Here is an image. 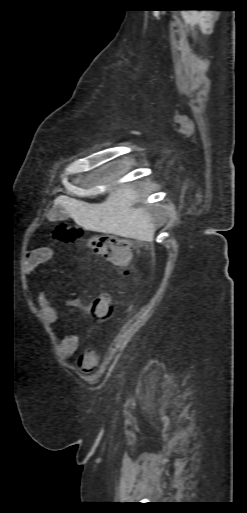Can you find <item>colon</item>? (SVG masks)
Wrapping results in <instances>:
<instances>
[{"label": "colon", "instance_id": "5ec220e1", "mask_svg": "<svg viewBox=\"0 0 247 513\" xmlns=\"http://www.w3.org/2000/svg\"><path fill=\"white\" fill-rule=\"evenodd\" d=\"M55 236L62 241L70 242L81 239L83 231L70 224H61L56 227ZM89 245L97 253L104 256L110 266L119 268L124 273L131 272L134 252L129 240L113 235H100L90 238ZM90 312L97 326H106L113 312L111 297L102 295L99 300H93L90 305Z\"/></svg>", "mask_w": 247, "mask_h": 513}]
</instances>
